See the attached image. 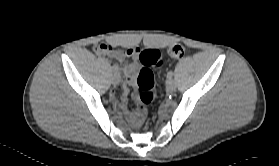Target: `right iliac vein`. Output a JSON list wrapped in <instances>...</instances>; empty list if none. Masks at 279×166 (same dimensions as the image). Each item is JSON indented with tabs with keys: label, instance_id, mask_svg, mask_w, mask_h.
Instances as JSON below:
<instances>
[{
	"label": "right iliac vein",
	"instance_id": "63e3f726",
	"mask_svg": "<svg viewBox=\"0 0 279 166\" xmlns=\"http://www.w3.org/2000/svg\"><path fill=\"white\" fill-rule=\"evenodd\" d=\"M119 82H120V75H119L118 73H115V74L113 75V78H112V83H113L114 85H118Z\"/></svg>",
	"mask_w": 279,
	"mask_h": 166
}]
</instances>
